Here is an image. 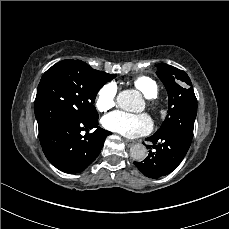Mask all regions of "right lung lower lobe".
Wrapping results in <instances>:
<instances>
[{"label": "right lung lower lobe", "instance_id": "1", "mask_svg": "<svg viewBox=\"0 0 229 229\" xmlns=\"http://www.w3.org/2000/svg\"><path fill=\"white\" fill-rule=\"evenodd\" d=\"M95 129L89 133V130ZM87 133L82 136L83 132ZM111 132L98 127L97 121L63 119L39 137L49 162L66 173H80L99 155Z\"/></svg>", "mask_w": 229, "mask_h": 229}]
</instances>
